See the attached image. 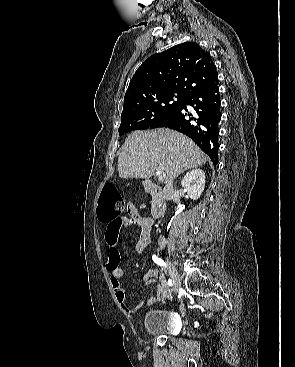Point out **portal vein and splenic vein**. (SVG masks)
I'll return each mask as SVG.
<instances>
[{
    "label": "portal vein and splenic vein",
    "mask_w": 295,
    "mask_h": 367,
    "mask_svg": "<svg viewBox=\"0 0 295 367\" xmlns=\"http://www.w3.org/2000/svg\"><path fill=\"white\" fill-rule=\"evenodd\" d=\"M157 176L159 181H163L165 179V173L161 170H157Z\"/></svg>",
    "instance_id": "1"
}]
</instances>
